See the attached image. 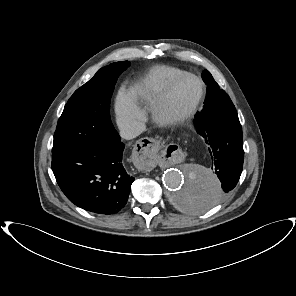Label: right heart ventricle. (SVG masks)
Returning a JSON list of instances; mask_svg holds the SVG:
<instances>
[{
    "instance_id": "1",
    "label": "right heart ventricle",
    "mask_w": 296,
    "mask_h": 296,
    "mask_svg": "<svg viewBox=\"0 0 296 296\" xmlns=\"http://www.w3.org/2000/svg\"><path fill=\"white\" fill-rule=\"evenodd\" d=\"M184 73L182 69L169 65L154 66L130 88L128 98L138 108L150 107L165 87Z\"/></svg>"
}]
</instances>
